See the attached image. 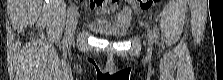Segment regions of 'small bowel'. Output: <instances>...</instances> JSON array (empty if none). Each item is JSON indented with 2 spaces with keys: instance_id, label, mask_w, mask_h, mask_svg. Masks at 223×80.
Instances as JSON below:
<instances>
[{
  "instance_id": "small-bowel-1",
  "label": "small bowel",
  "mask_w": 223,
  "mask_h": 80,
  "mask_svg": "<svg viewBox=\"0 0 223 80\" xmlns=\"http://www.w3.org/2000/svg\"><path fill=\"white\" fill-rule=\"evenodd\" d=\"M115 5H111L109 7V4L103 1H95L94 3L91 4V9L96 10V11H112L114 10Z\"/></svg>"
}]
</instances>
